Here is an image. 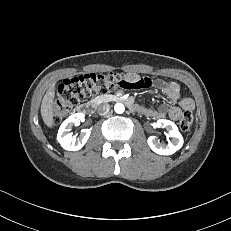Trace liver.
Segmentation results:
<instances>
[{"label": "liver", "mask_w": 231, "mask_h": 231, "mask_svg": "<svg viewBox=\"0 0 231 231\" xmlns=\"http://www.w3.org/2000/svg\"><path fill=\"white\" fill-rule=\"evenodd\" d=\"M54 96L55 83H52L43 97L41 103V116L45 125L52 128L54 125Z\"/></svg>", "instance_id": "obj_1"}]
</instances>
